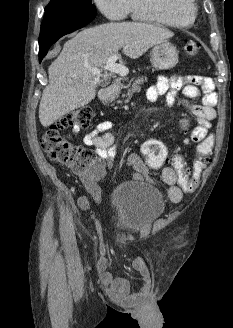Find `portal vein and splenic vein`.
I'll return each mask as SVG.
<instances>
[{"label": "portal vein and splenic vein", "mask_w": 233, "mask_h": 328, "mask_svg": "<svg viewBox=\"0 0 233 328\" xmlns=\"http://www.w3.org/2000/svg\"><path fill=\"white\" fill-rule=\"evenodd\" d=\"M119 58V54L116 53L115 55H113L112 57H110L107 61V63L105 64V66H103V68H92L89 67L91 72H93L94 74L100 75V73L102 72V70H107L110 71L112 73H116L119 74L121 76H125L128 73V69L120 64H117L116 61Z\"/></svg>", "instance_id": "18ae733b"}]
</instances>
